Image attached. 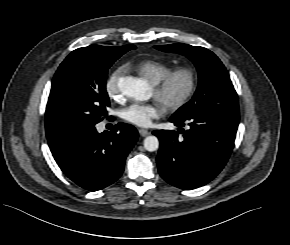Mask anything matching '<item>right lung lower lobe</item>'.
<instances>
[{"label":"right lung lower lobe","instance_id":"right-lung-lower-lobe-1","mask_svg":"<svg viewBox=\"0 0 290 245\" xmlns=\"http://www.w3.org/2000/svg\"><path fill=\"white\" fill-rule=\"evenodd\" d=\"M96 124L64 127L47 133L60 169L77 185L97 191L115 182L138 139L137 130L118 123L111 132L98 133Z\"/></svg>","mask_w":290,"mask_h":245}]
</instances>
